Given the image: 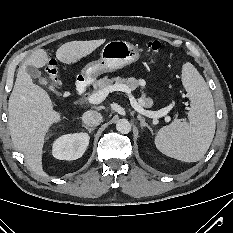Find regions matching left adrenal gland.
<instances>
[{"instance_id": "left-adrenal-gland-1", "label": "left adrenal gland", "mask_w": 233, "mask_h": 233, "mask_svg": "<svg viewBox=\"0 0 233 233\" xmlns=\"http://www.w3.org/2000/svg\"><path fill=\"white\" fill-rule=\"evenodd\" d=\"M137 118L141 122L142 128L147 127L151 132H153L152 128L145 122V119L141 115H138Z\"/></svg>"}]
</instances>
